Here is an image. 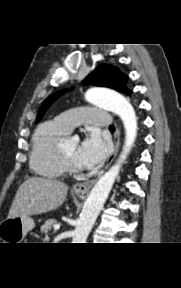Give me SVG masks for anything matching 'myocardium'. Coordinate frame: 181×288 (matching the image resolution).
Here are the masks:
<instances>
[{
    "label": "myocardium",
    "mask_w": 181,
    "mask_h": 288,
    "mask_svg": "<svg viewBox=\"0 0 181 288\" xmlns=\"http://www.w3.org/2000/svg\"><path fill=\"white\" fill-rule=\"evenodd\" d=\"M59 152L67 171L71 173H77L80 171V168L65 154L62 146H60Z\"/></svg>",
    "instance_id": "obj_1"
}]
</instances>
